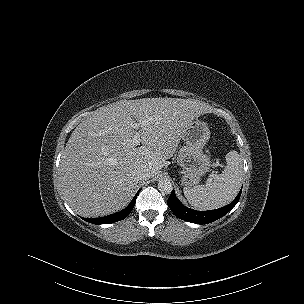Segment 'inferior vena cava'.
I'll use <instances>...</instances> for the list:
<instances>
[{
  "mask_svg": "<svg viewBox=\"0 0 304 304\" xmlns=\"http://www.w3.org/2000/svg\"><path fill=\"white\" fill-rule=\"evenodd\" d=\"M136 175L139 180H147L150 178V173L145 169H137Z\"/></svg>",
  "mask_w": 304,
  "mask_h": 304,
  "instance_id": "602c4592",
  "label": "inferior vena cava"
}]
</instances>
